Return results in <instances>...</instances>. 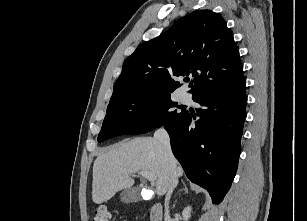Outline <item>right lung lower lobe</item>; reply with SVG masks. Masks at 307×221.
Returning a JSON list of instances; mask_svg holds the SVG:
<instances>
[{
  "instance_id": "right-lung-lower-lobe-1",
  "label": "right lung lower lobe",
  "mask_w": 307,
  "mask_h": 221,
  "mask_svg": "<svg viewBox=\"0 0 307 221\" xmlns=\"http://www.w3.org/2000/svg\"><path fill=\"white\" fill-rule=\"evenodd\" d=\"M202 108L191 126L192 116L185 113L164 126L172 151L187 177L205 188L213 203L219 204L236 174L240 141L246 118V82L222 91L193 98Z\"/></svg>"
}]
</instances>
